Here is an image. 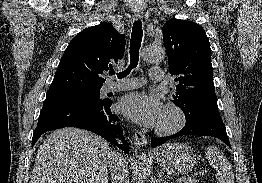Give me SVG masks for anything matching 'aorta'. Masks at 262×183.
<instances>
[{"label":"aorta","instance_id":"1","mask_svg":"<svg viewBox=\"0 0 262 183\" xmlns=\"http://www.w3.org/2000/svg\"><path fill=\"white\" fill-rule=\"evenodd\" d=\"M165 51L162 47L148 45L143 49L142 58L148 63H160L165 59ZM142 182V180H140Z\"/></svg>","mask_w":262,"mask_h":183}]
</instances>
